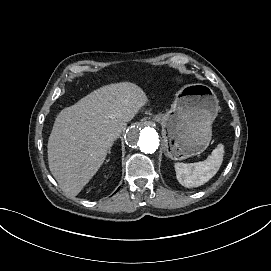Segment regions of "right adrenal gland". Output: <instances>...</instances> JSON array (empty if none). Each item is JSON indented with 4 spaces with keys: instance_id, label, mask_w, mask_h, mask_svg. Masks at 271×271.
I'll list each match as a JSON object with an SVG mask.
<instances>
[{
    "instance_id": "right-adrenal-gland-1",
    "label": "right adrenal gland",
    "mask_w": 271,
    "mask_h": 271,
    "mask_svg": "<svg viewBox=\"0 0 271 271\" xmlns=\"http://www.w3.org/2000/svg\"><path fill=\"white\" fill-rule=\"evenodd\" d=\"M111 146H112V144H111L110 147L108 148V153H109V154L111 153Z\"/></svg>"
}]
</instances>
